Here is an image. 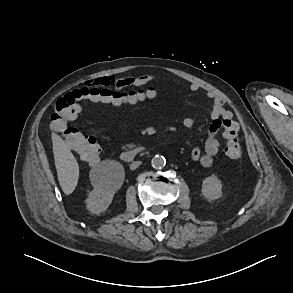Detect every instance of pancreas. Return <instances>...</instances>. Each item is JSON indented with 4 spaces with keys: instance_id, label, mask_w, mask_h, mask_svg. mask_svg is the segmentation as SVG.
<instances>
[{
    "instance_id": "obj_1",
    "label": "pancreas",
    "mask_w": 293,
    "mask_h": 293,
    "mask_svg": "<svg viewBox=\"0 0 293 293\" xmlns=\"http://www.w3.org/2000/svg\"><path fill=\"white\" fill-rule=\"evenodd\" d=\"M134 146H135L134 144H128V145H127V147H128L129 149L133 148Z\"/></svg>"
}]
</instances>
